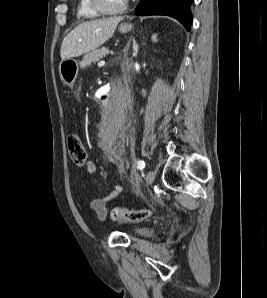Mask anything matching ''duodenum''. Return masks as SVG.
I'll return each mask as SVG.
<instances>
[{"label":"duodenum","instance_id":"duodenum-1","mask_svg":"<svg viewBox=\"0 0 267 298\" xmlns=\"http://www.w3.org/2000/svg\"><path fill=\"white\" fill-rule=\"evenodd\" d=\"M111 93H113L112 91V86L110 87V89L102 96V98H100V103L102 104H96V109H108V98H110Z\"/></svg>","mask_w":267,"mask_h":298}]
</instances>
